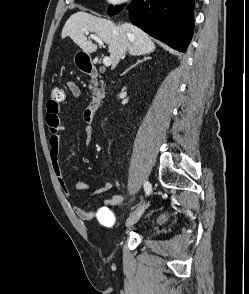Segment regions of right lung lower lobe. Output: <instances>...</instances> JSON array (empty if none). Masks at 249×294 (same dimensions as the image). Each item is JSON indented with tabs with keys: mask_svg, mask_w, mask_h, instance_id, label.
Returning <instances> with one entry per match:
<instances>
[{
	"mask_svg": "<svg viewBox=\"0 0 249 294\" xmlns=\"http://www.w3.org/2000/svg\"><path fill=\"white\" fill-rule=\"evenodd\" d=\"M132 23L172 48L185 52L193 34L194 0H133Z\"/></svg>",
	"mask_w": 249,
	"mask_h": 294,
	"instance_id": "obj_1",
	"label": "right lung lower lobe"
}]
</instances>
